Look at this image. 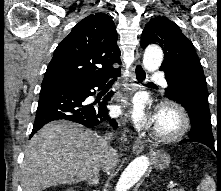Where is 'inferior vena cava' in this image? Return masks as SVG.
<instances>
[{"instance_id":"inferior-vena-cava-1","label":"inferior vena cava","mask_w":221,"mask_h":191,"mask_svg":"<svg viewBox=\"0 0 221 191\" xmlns=\"http://www.w3.org/2000/svg\"><path fill=\"white\" fill-rule=\"evenodd\" d=\"M113 134H107L104 138H102V142L105 145L104 148V160L102 163V168L105 170L108 163L113 160L115 157L116 153L115 150L110 146V141L112 139ZM99 174L98 172L94 173V176Z\"/></svg>"}]
</instances>
